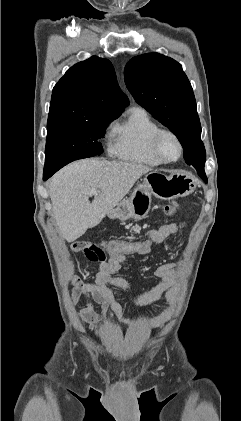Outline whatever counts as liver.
Returning a JSON list of instances; mask_svg holds the SVG:
<instances>
[{
  "instance_id": "6515ba94",
  "label": "liver",
  "mask_w": 241,
  "mask_h": 421,
  "mask_svg": "<svg viewBox=\"0 0 241 421\" xmlns=\"http://www.w3.org/2000/svg\"><path fill=\"white\" fill-rule=\"evenodd\" d=\"M152 169L143 164L83 159L75 161L49 182L53 215L60 236L73 242L98 225L129 193L135 182ZM96 189L92 202L89 191Z\"/></svg>"
}]
</instances>
